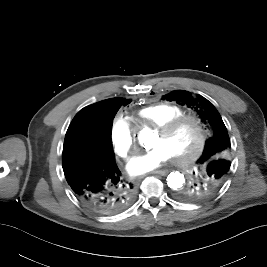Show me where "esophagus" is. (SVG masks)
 Instances as JSON below:
<instances>
[{
	"instance_id": "1",
	"label": "esophagus",
	"mask_w": 267,
	"mask_h": 267,
	"mask_svg": "<svg viewBox=\"0 0 267 267\" xmlns=\"http://www.w3.org/2000/svg\"><path fill=\"white\" fill-rule=\"evenodd\" d=\"M168 173L167 170H158V171H153L152 174H159L161 176H165Z\"/></svg>"
}]
</instances>
